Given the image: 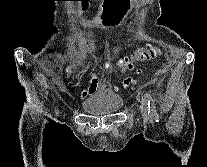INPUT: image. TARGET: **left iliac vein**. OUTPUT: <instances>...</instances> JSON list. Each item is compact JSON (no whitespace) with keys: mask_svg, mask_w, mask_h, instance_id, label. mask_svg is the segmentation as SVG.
<instances>
[{"mask_svg":"<svg viewBox=\"0 0 207 167\" xmlns=\"http://www.w3.org/2000/svg\"><path fill=\"white\" fill-rule=\"evenodd\" d=\"M141 111H142L144 119L146 121H150V116L148 114V104H147L146 100H144V99L141 100Z\"/></svg>","mask_w":207,"mask_h":167,"instance_id":"4c4485c4","label":"left iliac vein"}]
</instances>
